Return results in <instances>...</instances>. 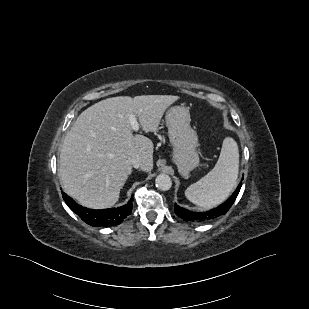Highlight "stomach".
<instances>
[{
	"label": "stomach",
	"mask_w": 309,
	"mask_h": 309,
	"mask_svg": "<svg viewBox=\"0 0 309 309\" xmlns=\"http://www.w3.org/2000/svg\"><path fill=\"white\" fill-rule=\"evenodd\" d=\"M190 112L184 106L171 107L166 113L168 136L173 147V162L186 177L199 164L198 137L190 126Z\"/></svg>",
	"instance_id": "1"
}]
</instances>
